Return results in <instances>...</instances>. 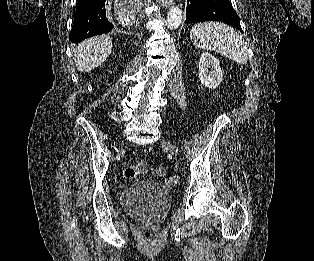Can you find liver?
Masks as SVG:
<instances>
[{
	"mask_svg": "<svg viewBox=\"0 0 314 261\" xmlns=\"http://www.w3.org/2000/svg\"><path fill=\"white\" fill-rule=\"evenodd\" d=\"M112 38L101 35L86 39L75 51V64L80 72H89L101 65L112 51Z\"/></svg>",
	"mask_w": 314,
	"mask_h": 261,
	"instance_id": "liver-1",
	"label": "liver"
}]
</instances>
